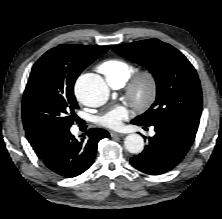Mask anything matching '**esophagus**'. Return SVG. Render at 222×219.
I'll list each match as a JSON object with an SVG mask.
<instances>
[{"instance_id":"1","label":"esophagus","mask_w":222,"mask_h":219,"mask_svg":"<svg viewBox=\"0 0 222 219\" xmlns=\"http://www.w3.org/2000/svg\"><path fill=\"white\" fill-rule=\"evenodd\" d=\"M110 135H111V137H121V136H123V134L117 133V132H113V131L110 132Z\"/></svg>"}]
</instances>
